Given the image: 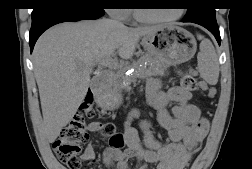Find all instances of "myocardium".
Segmentation results:
<instances>
[{
    "label": "myocardium",
    "instance_id": "f54148a6",
    "mask_svg": "<svg viewBox=\"0 0 252 169\" xmlns=\"http://www.w3.org/2000/svg\"><path fill=\"white\" fill-rule=\"evenodd\" d=\"M133 16L137 21L141 23H147V24L163 23V22L174 21L181 18L182 10H178V12L172 15L164 16V17L148 18V17L142 16L137 9H133Z\"/></svg>",
    "mask_w": 252,
    "mask_h": 169
}]
</instances>
